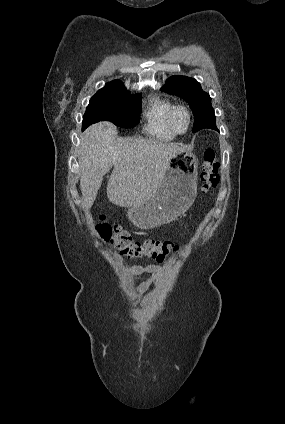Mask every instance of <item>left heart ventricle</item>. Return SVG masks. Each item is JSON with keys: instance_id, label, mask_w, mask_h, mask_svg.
I'll return each instance as SVG.
<instances>
[{"instance_id": "1", "label": "left heart ventricle", "mask_w": 285, "mask_h": 424, "mask_svg": "<svg viewBox=\"0 0 285 424\" xmlns=\"http://www.w3.org/2000/svg\"><path fill=\"white\" fill-rule=\"evenodd\" d=\"M188 119L184 111H178L175 115V124L179 130H185L187 127Z\"/></svg>"}]
</instances>
